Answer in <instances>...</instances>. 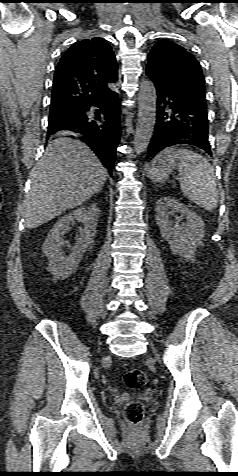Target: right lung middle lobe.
<instances>
[{
  "instance_id": "1",
  "label": "right lung middle lobe",
  "mask_w": 238,
  "mask_h": 476,
  "mask_svg": "<svg viewBox=\"0 0 238 476\" xmlns=\"http://www.w3.org/2000/svg\"><path fill=\"white\" fill-rule=\"evenodd\" d=\"M82 109L73 107L50 108L49 123L62 122L79 114Z\"/></svg>"
}]
</instances>
